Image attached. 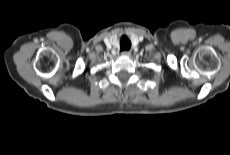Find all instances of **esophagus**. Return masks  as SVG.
<instances>
[{
  "mask_svg": "<svg viewBox=\"0 0 230 155\" xmlns=\"http://www.w3.org/2000/svg\"><path fill=\"white\" fill-rule=\"evenodd\" d=\"M122 55H123V56H130V55H131V52L125 50V51L122 52Z\"/></svg>",
  "mask_w": 230,
  "mask_h": 155,
  "instance_id": "34e87169",
  "label": "esophagus"
}]
</instances>
